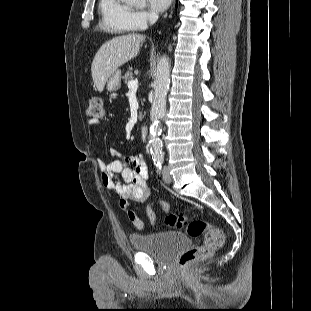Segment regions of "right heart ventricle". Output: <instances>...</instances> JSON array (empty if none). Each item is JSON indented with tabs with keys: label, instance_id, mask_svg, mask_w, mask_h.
<instances>
[{
	"label": "right heart ventricle",
	"instance_id": "obj_1",
	"mask_svg": "<svg viewBox=\"0 0 311 311\" xmlns=\"http://www.w3.org/2000/svg\"><path fill=\"white\" fill-rule=\"evenodd\" d=\"M98 10L100 25L106 31L126 34L134 30L130 21L131 9L124 0H100Z\"/></svg>",
	"mask_w": 311,
	"mask_h": 311
}]
</instances>
